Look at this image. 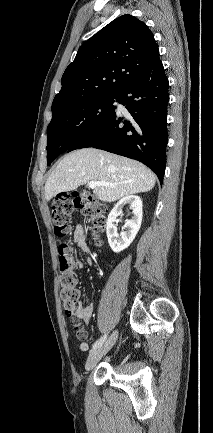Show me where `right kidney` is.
Instances as JSON below:
<instances>
[{"instance_id":"obj_1","label":"right kidney","mask_w":213,"mask_h":433,"mask_svg":"<svg viewBox=\"0 0 213 433\" xmlns=\"http://www.w3.org/2000/svg\"><path fill=\"white\" fill-rule=\"evenodd\" d=\"M129 204L133 210V217L125 223L126 231L120 234L117 232V226L114 224L116 218L122 214V208ZM142 222V201L140 197L129 195L122 198L112 209L108 216L106 225V233L108 243L115 253H119L126 249L134 240L138 233Z\"/></svg>"}]
</instances>
